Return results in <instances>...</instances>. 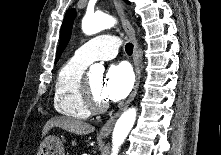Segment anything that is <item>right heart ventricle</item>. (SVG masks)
Returning <instances> with one entry per match:
<instances>
[{
    "mask_svg": "<svg viewBox=\"0 0 221 155\" xmlns=\"http://www.w3.org/2000/svg\"><path fill=\"white\" fill-rule=\"evenodd\" d=\"M87 65L73 57L60 68L53 95L57 112L77 119H86L90 116L91 112L84 105L81 96V82Z\"/></svg>",
    "mask_w": 221,
    "mask_h": 155,
    "instance_id": "e07e8e85",
    "label": "right heart ventricle"
}]
</instances>
